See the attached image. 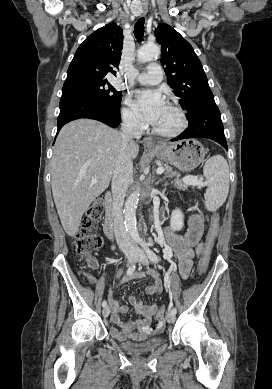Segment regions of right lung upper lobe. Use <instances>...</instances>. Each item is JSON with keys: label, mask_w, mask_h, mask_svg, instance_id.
<instances>
[{"label": "right lung upper lobe", "mask_w": 272, "mask_h": 389, "mask_svg": "<svg viewBox=\"0 0 272 389\" xmlns=\"http://www.w3.org/2000/svg\"><path fill=\"white\" fill-rule=\"evenodd\" d=\"M122 28L115 23L105 25L86 38L77 49L67 71L64 84L85 80H107L116 75L123 45Z\"/></svg>", "instance_id": "cb5924a9"}]
</instances>
